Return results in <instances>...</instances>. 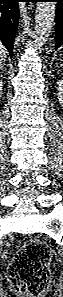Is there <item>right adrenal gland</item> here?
<instances>
[{
	"instance_id": "obj_1",
	"label": "right adrenal gland",
	"mask_w": 63,
	"mask_h": 297,
	"mask_svg": "<svg viewBox=\"0 0 63 297\" xmlns=\"http://www.w3.org/2000/svg\"><path fill=\"white\" fill-rule=\"evenodd\" d=\"M0 70H1V73H4L3 64L0 65Z\"/></svg>"
}]
</instances>
